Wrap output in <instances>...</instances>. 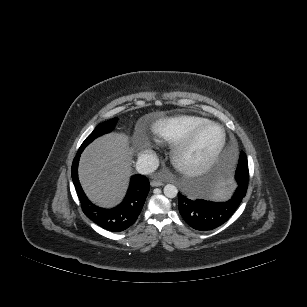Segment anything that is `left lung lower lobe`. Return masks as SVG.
Masks as SVG:
<instances>
[{
  "instance_id": "1",
  "label": "left lung lower lobe",
  "mask_w": 307,
  "mask_h": 307,
  "mask_svg": "<svg viewBox=\"0 0 307 307\" xmlns=\"http://www.w3.org/2000/svg\"><path fill=\"white\" fill-rule=\"evenodd\" d=\"M238 167L247 172L248 161L241 151ZM238 187L232 198L226 202H211L204 199H195L189 195L178 193V208L186 223L200 231L215 229L224 224L237 210L246 195L248 181L236 179Z\"/></svg>"
}]
</instances>
